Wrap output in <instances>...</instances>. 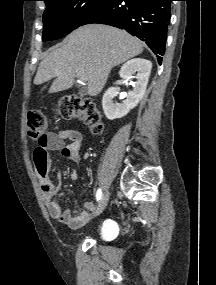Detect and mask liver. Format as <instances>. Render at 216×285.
<instances>
[{
    "label": "liver",
    "instance_id": "6515ba94",
    "mask_svg": "<svg viewBox=\"0 0 216 285\" xmlns=\"http://www.w3.org/2000/svg\"><path fill=\"white\" fill-rule=\"evenodd\" d=\"M143 43L125 31L99 24L79 27L41 61L34 84L56 78L49 93L70 89L77 73L86 75L87 93L98 95L111 69L142 53Z\"/></svg>",
    "mask_w": 216,
    "mask_h": 285
}]
</instances>
